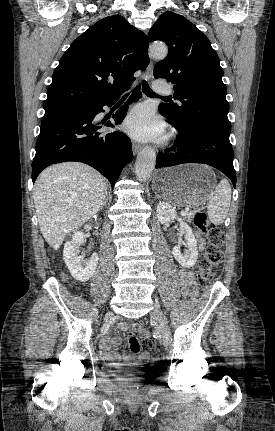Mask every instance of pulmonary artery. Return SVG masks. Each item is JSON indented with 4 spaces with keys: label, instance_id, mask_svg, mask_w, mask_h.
I'll return each mask as SVG.
<instances>
[{
    "label": "pulmonary artery",
    "instance_id": "1",
    "mask_svg": "<svg viewBox=\"0 0 275 431\" xmlns=\"http://www.w3.org/2000/svg\"><path fill=\"white\" fill-rule=\"evenodd\" d=\"M154 91L158 92V93H163V94H168L170 93V87L162 82V81H156L153 85Z\"/></svg>",
    "mask_w": 275,
    "mask_h": 431
}]
</instances>
